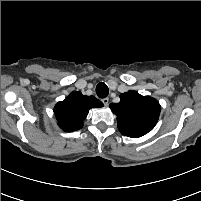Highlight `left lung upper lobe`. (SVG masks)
<instances>
[{
  "instance_id": "obj_1",
  "label": "left lung upper lobe",
  "mask_w": 201,
  "mask_h": 201,
  "mask_svg": "<svg viewBox=\"0 0 201 201\" xmlns=\"http://www.w3.org/2000/svg\"><path fill=\"white\" fill-rule=\"evenodd\" d=\"M109 107L117 115L119 131L131 138L150 132L156 125L161 110L156 99L142 96L133 90L121 94L120 102L111 103Z\"/></svg>"
}]
</instances>
